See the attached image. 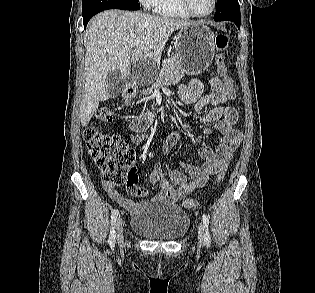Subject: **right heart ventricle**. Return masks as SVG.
Returning <instances> with one entry per match:
<instances>
[{
  "label": "right heart ventricle",
  "instance_id": "e07e8e85",
  "mask_svg": "<svg viewBox=\"0 0 315 293\" xmlns=\"http://www.w3.org/2000/svg\"><path fill=\"white\" fill-rule=\"evenodd\" d=\"M155 11L161 16L174 19L192 17L183 7L181 0H157Z\"/></svg>",
  "mask_w": 315,
  "mask_h": 293
}]
</instances>
